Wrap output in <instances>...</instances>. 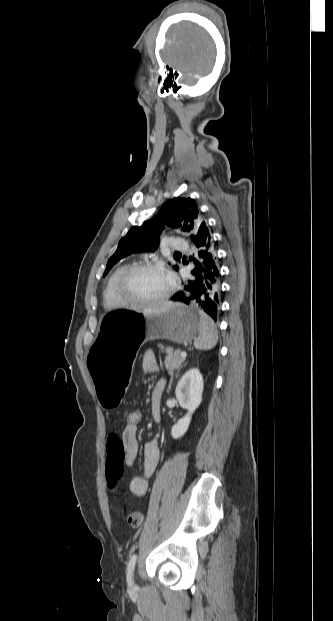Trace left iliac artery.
Returning <instances> with one entry per match:
<instances>
[{"label":"left iliac artery","instance_id":"1","mask_svg":"<svg viewBox=\"0 0 333 621\" xmlns=\"http://www.w3.org/2000/svg\"><path fill=\"white\" fill-rule=\"evenodd\" d=\"M137 560V554H133L127 565V581L128 583H132V573L134 571V567Z\"/></svg>","mask_w":333,"mask_h":621}]
</instances>
